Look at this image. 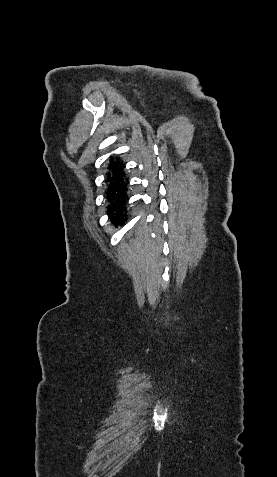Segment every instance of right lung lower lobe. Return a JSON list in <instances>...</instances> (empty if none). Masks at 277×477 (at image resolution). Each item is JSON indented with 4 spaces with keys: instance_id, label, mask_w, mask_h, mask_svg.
Masks as SVG:
<instances>
[{
    "instance_id": "right-lung-lower-lobe-1",
    "label": "right lung lower lobe",
    "mask_w": 277,
    "mask_h": 477,
    "mask_svg": "<svg viewBox=\"0 0 277 477\" xmlns=\"http://www.w3.org/2000/svg\"><path fill=\"white\" fill-rule=\"evenodd\" d=\"M107 180L108 188L106 194L111 210L109 216L113 224L122 225L124 219H121V214L122 210L124 209V204L126 203V182L123 174L122 164H120L117 159H110Z\"/></svg>"
}]
</instances>
